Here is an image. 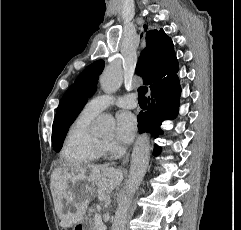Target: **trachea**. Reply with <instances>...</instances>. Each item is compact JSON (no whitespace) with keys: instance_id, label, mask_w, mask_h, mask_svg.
I'll list each match as a JSON object with an SVG mask.
<instances>
[{"instance_id":"obj_1","label":"trachea","mask_w":241,"mask_h":230,"mask_svg":"<svg viewBox=\"0 0 241 230\" xmlns=\"http://www.w3.org/2000/svg\"><path fill=\"white\" fill-rule=\"evenodd\" d=\"M148 92V88L145 86H141L138 88V101L140 103H144L147 101V98L145 97L146 93Z\"/></svg>"}]
</instances>
